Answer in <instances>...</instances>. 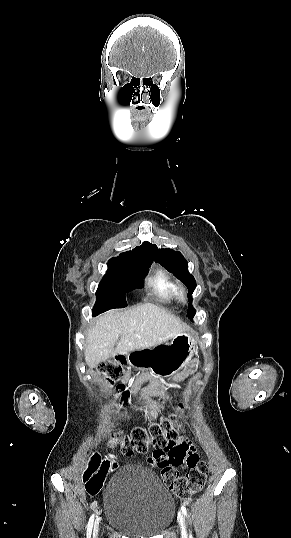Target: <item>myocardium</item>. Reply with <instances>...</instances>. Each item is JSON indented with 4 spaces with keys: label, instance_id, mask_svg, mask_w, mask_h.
I'll list each match as a JSON object with an SVG mask.
<instances>
[{
    "label": "myocardium",
    "instance_id": "obj_1",
    "mask_svg": "<svg viewBox=\"0 0 291 538\" xmlns=\"http://www.w3.org/2000/svg\"><path fill=\"white\" fill-rule=\"evenodd\" d=\"M176 297L178 300L185 302L187 300V292L183 287H177Z\"/></svg>",
    "mask_w": 291,
    "mask_h": 538
}]
</instances>
